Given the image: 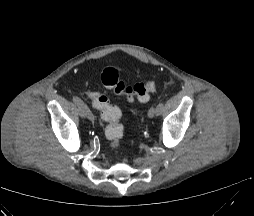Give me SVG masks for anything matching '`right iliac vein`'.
Returning <instances> with one entry per match:
<instances>
[{"mask_svg": "<svg viewBox=\"0 0 254 216\" xmlns=\"http://www.w3.org/2000/svg\"><path fill=\"white\" fill-rule=\"evenodd\" d=\"M77 110H78L79 116H80L82 119H85L86 117H88V116H87V113H86V111H85L84 108L78 106V107H77Z\"/></svg>", "mask_w": 254, "mask_h": 216, "instance_id": "1", "label": "right iliac vein"}]
</instances>
